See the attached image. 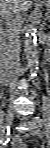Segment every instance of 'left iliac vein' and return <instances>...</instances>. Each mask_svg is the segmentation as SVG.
<instances>
[{
    "label": "left iliac vein",
    "mask_w": 50,
    "mask_h": 148,
    "mask_svg": "<svg viewBox=\"0 0 50 148\" xmlns=\"http://www.w3.org/2000/svg\"><path fill=\"white\" fill-rule=\"evenodd\" d=\"M26 125L29 127L31 133L36 134V135H40L39 126L37 125V123L35 121L27 119Z\"/></svg>",
    "instance_id": "1"
}]
</instances>
